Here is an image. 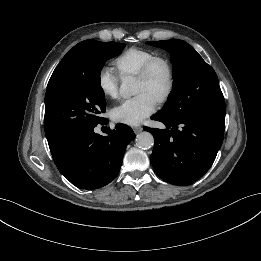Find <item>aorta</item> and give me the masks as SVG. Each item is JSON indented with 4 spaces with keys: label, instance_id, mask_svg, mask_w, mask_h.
<instances>
[{
    "label": "aorta",
    "instance_id": "obj_1",
    "mask_svg": "<svg viewBox=\"0 0 261 261\" xmlns=\"http://www.w3.org/2000/svg\"><path fill=\"white\" fill-rule=\"evenodd\" d=\"M120 94L125 98L136 94L135 79L133 77L123 79ZM136 144L141 149H150L154 145V137L147 131L141 132L136 137Z\"/></svg>",
    "mask_w": 261,
    "mask_h": 261
}]
</instances>
